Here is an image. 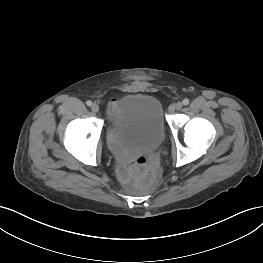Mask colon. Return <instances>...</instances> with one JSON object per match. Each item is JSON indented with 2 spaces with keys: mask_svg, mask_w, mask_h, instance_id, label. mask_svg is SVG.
<instances>
[{
  "mask_svg": "<svg viewBox=\"0 0 263 263\" xmlns=\"http://www.w3.org/2000/svg\"><path fill=\"white\" fill-rule=\"evenodd\" d=\"M133 168L136 171L138 181L141 185L150 186L154 183L157 175L154 164L150 163L145 158H139Z\"/></svg>",
  "mask_w": 263,
  "mask_h": 263,
  "instance_id": "obj_1",
  "label": "colon"
}]
</instances>
